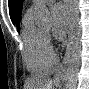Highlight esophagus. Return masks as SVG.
Returning <instances> with one entry per match:
<instances>
[{"label":"esophagus","instance_id":"34e87169","mask_svg":"<svg viewBox=\"0 0 89 89\" xmlns=\"http://www.w3.org/2000/svg\"><path fill=\"white\" fill-rule=\"evenodd\" d=\"M70 41V37L68 39V42ZM68 55H69V43L67 45V49H66V53H65V56L60 64V66L58 67L56 73H55V76L54 78L56 80H61L62 77H63V74L65 72V69H66V65H67V62H68Z\"/></svg>","mask_w":89,"mask_h":89}]
</instances>
